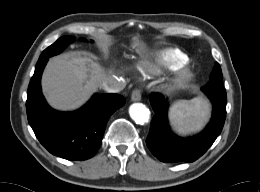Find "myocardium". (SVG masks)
<instances>
[{
    "instance_id": "obj_1",
    "label": "myocardium",
    "mask_w": 260,
    "mask_h": 192,
    "mask_svg": "<svg viewBox=\"0 0 260 192\" xmlns=\"http://www.w3.org/2000/svg\"><path fill=\"white\" fill-rule=\"evenodd\" d=\"M191 77L192 73L189 70H182L172 79L171 86H179L190 80Z\"/></svg>"
}]
</instances>
